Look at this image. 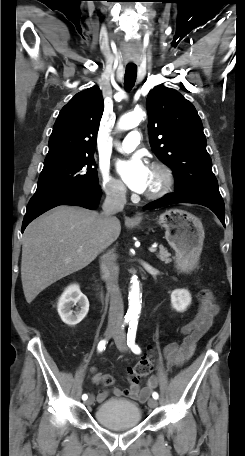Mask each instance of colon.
<instances>
[{
  "label": "colon",
  "instance_id": "colon-1",
  "mask_svg": "<svg viewBox=\"0 0 245 456\" xmlns=\"http://www.w3.org/2000/svg\"><path fill=\"white\" fill-rule=\"evenodd\" d=\"M154 368L152 348L150 353L142 358L134 367L130 369V374L134 381H139L140 379L149 375Z\"/></svg>",
  "mask_w": 245,
  "mask_h": 456
}]
</instances>
